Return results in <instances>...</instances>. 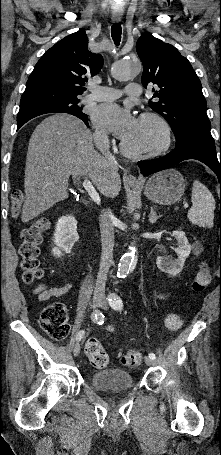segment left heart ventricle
I'll use <instances>...</instances> for the list:
<instances>
[{
  "label": "left heart ventricle",
  "mask_w": 221,
  "mask_h": 455,
  "mask_svg": "<svg viewBox=\"0 0 221 455\" xmlns=\"http://www.w3.org/2000/svg\"><path fill=\"white\" fill-rule=\"evenodd\" d=\"M162 141L159 126L150 119L138 120L133 135L124 142L134 150H147L158 146Z\"/></svg>",
  "instance_id": "1"
}]
</instances>
